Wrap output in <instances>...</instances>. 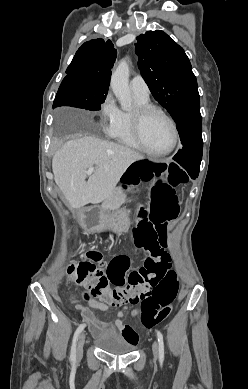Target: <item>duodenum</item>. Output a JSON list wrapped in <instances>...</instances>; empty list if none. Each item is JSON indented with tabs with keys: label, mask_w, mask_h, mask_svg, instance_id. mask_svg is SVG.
I'll list each match as a JSON object with an SVG mask.
<instances>
[{
	"label": "duodenum",
	"mask_w": 248,
	"mask_h": 389,
	"mask_svg": "<svg viewBox=\"0 0 248 389\" xmlns=\"http://www.w3.org/2000/svg\"><path fill=\"white\" fill-rule=\"evenodd\" d=\"M86 213H89V210L84 211V212L80 215V217H79L80 222H81L82 224L86 225L87 228H88L89 230H95V226H90V225H89V220H86V219L84 218V215H85Z\"/></svg>",
	"instance_id": "1"
}]
</instances>
